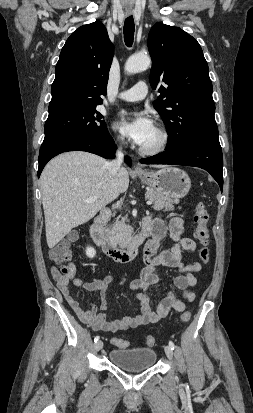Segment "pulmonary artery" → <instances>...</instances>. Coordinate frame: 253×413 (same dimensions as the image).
<instances>
[{"instance_id":"e3ab8cb5","label":"pulmonary artery","mask_w":253,"mask_h":413,"mask_svg":"<svg viewBox=\"0 0 253 413\" xmlns=\"http://www.w3.org/2000/svg\"><path fill=\"white\" fill-rule=\"evenodd\" d=\"M148 94V86L145 82L140 81L136 83L132 88L123 91L119 94V98L127 102L140 101Z\"/></svg>"}]
</instances>
